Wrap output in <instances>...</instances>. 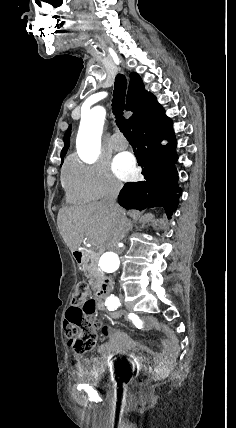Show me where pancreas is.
<instances>
[{
  "instance_id": "obj_1",
  "label": "pancreas",
  "mask_w": 236,
  "mask_h": 428,
  "mask_svg": "<svg viewBox=\"0 0 236 428\" xmlns=\"http://www.w3.org/2000/svg\"><path fill=\"white\" fill-rule=\"evenodd\" d=\"M100 256L101 254H91L90 258L84 264V270L88 272L87 276L90 278L91 288H99L100 278H102V274L99 272L97 266Z\"/></svg>"
}]
</instances>
